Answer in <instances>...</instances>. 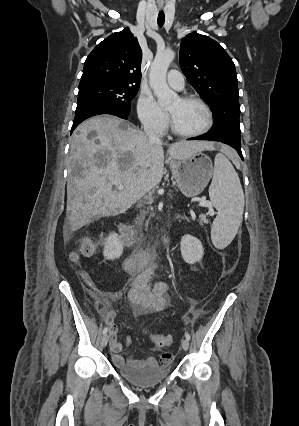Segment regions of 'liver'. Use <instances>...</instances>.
I'll use <instances>...</instances> for the list:
<instances>
[{"mask_svg":"<svg viewBox=\"0 0 299 426\" xmlns=\"http://www.w3.org/2000/svg\"><path fill=\"white\" fill-rule=\"evenodd\" d=\"M91 132L96 135L88 138ZM209 141H181L169 146L173 159L214 150ZM222 151H226L222 148ZM80 166L79 176L73 168ZM162 143L112 116H96L80 124L71 138L68 158L67 220L76 231L96 216H112L129 209L157 186L163 177ZM123 185L117 191L113 186Z\"/></svg>","mask_w":299,"mask_h":426,"instance_id":"obj_1","label":"liver"}]
</instances>
